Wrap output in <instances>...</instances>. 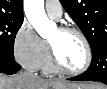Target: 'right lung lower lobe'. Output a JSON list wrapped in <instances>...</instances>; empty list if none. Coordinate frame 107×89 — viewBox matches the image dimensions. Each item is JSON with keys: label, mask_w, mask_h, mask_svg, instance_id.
Wrapping results in <instances>:
<instances>
[{"label": "right lung lower lobe", "mask_w": 107, "mask_h": 89, "mask_svg": "<svg viewBox=\"0 0 107 89\" xmlns=\"http://www.w3.org/2000/svg\"><path fill=\"white\" fill-rule=\"evenodd\" d=\"M20 65L14 62H9L7 60L0 59V73L5 74H15L20 69Z\"/></svg>", "instance_id": "obj_1"}]
</instances>
